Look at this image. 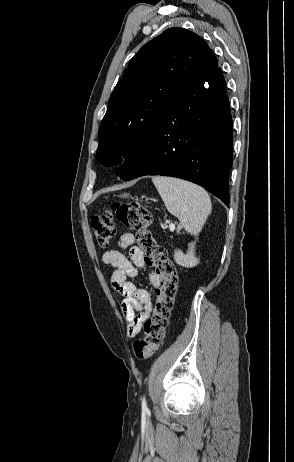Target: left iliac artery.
<instances>
[{
	"mask_svg": "<svg viewBox=\"0 0 294 462\" xmlns=\"http://www.w3.org/2000/svg\"><path fill=\"white\" fill-rule=\"evenodd\" d=\"M142 410H143V411H147V410H148L145 397L142 398Z\"/></svg>",
	"mask_w": 294,
	"mask_h": 462,
	"instance_id": "44dca946",
	"label": "left iliac artery"
}]
</instances>
